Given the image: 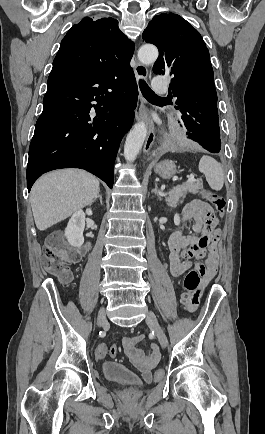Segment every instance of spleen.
<instances>
[{
    "mask_svg": "<svg viewBox=\"0 0 265 434\" xmlns=\"http://www.w3.org/2000/svg\"><path fill=\"white\" fill-rule=\"evenodd\" d=\"M198 168L199 172L204 174L212 190H222L224 184L223 170L216 160H213L210 156H203Z\"/></svg>",
    "mask_w": 265,
    "mask_h": 434,
    "instance_id": "obj_1",
    "label": "spleen"
}]
</instances>
